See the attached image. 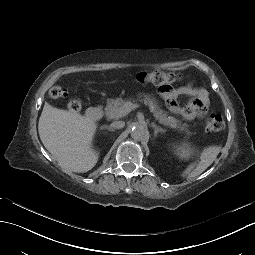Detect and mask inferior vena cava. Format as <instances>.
I'll return each mask as SVG.
<instances>
[{"label":"inferior vena cava","instance_id":"602c4592","mask_svg":"<svg viewBox=\"0 0 255 255\" xmlns=\"http://www.w3.org/2000/svg\"><path fill=\"white\" fill-rule=\"evenodd\" d=\"M113 129H121L125 126L123 121H115L110 125Z\"/></svg>","mask_w":255,"mask_h":255}]
</instances>
